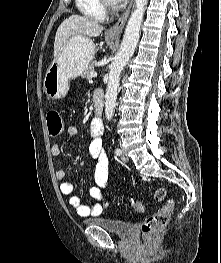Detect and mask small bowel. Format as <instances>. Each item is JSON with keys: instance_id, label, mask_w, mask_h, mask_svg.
Segmentation results:
<instances>
[{"instance_id": "small-bowel-1", "label": "small bowel", "mask_w": 221, "mask_h": 263, "mask_svg": "<svg viewBox=\"0 0 221 263\" xmlns=\"http://www.w3.org/2000/svg\"><path fill=\"white\" fill-rule=\"evenodd\" d=\"M66 133L73 137L78 134V128L74 125H69L66 128ZM102 129H97L94 124L91 127V139L89 141V154L95 162L94 180L95 186L90 187L89 195L93 201L89 204L82 203L79 196L74 194V183L66 180V172L59 170L56 173V180L60 185V191L63 195L69 197V204L76 209L80 216H96L101 214L103 205L101 203L102 194L101 189L107 188L110 184L109 180V159L105 152L102 141ZM61 152L58 143L51 146V153L53 156H58Z\"/></svg>"}]
</instances>
